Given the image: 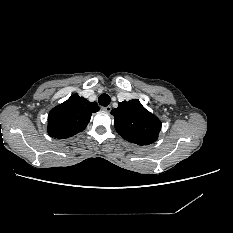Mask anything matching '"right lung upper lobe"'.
I'll use <instances>...</instances> for the list:
<instances>
[{
    "instance_id": "1",
    "label": "right lung upper lobe",
    "mask_w": 233,
    "mask_h": 233,
    "mask_svg": "<svg viewBox=\"0 0 233 233\" xmlns=\"http://www.w3.org/2000/svg\"><path fill=\"white\" fill-rule=\"evenodd\" d=\"M99 110L96 102H89L77 94L54 107L48 115V133L57 139H66L83 131L92 113Z\"/></svg>"
}]
</instances>
